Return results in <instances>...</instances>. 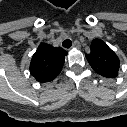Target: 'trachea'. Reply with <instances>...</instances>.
I'll list each match as a JSON object with an SVG mask.
<instances>
[{
    "label": "trachea",
    "instance_id": "obj_1",
    "mask_svg": "<svg viewBox=\"0 0 127 127\" xmlns=\"http://www.w3.org/2000/svg\"><path fill=\"white\" fill-rule=\"evenodd\" d=\"M62 44H63V47L69 48L71 46L72 42L70 39H66V40H64V42Z\"/></svg>",
    "mask_w": 127,
    "mask_h": 127
}]
</instances>
